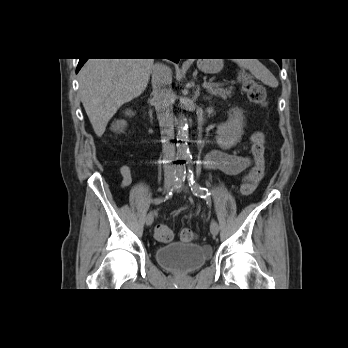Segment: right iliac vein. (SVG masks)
I'll list each match as a JSON object with an SVG mask.
<instances>
[{"label":"right iliac vein","instance_id":"63e3f726","mask_svg":"<svg viewBox=\"0 0 348 348\" xmlns=\"http://www.w3.org/2000/svg\"><path fill=\"white\" fill-rule=\"evenodd\" d=\"M173 182H174V178L172 176L166 177L164 180V190L169 191ZM153 221H154V213L150 212L146 217V225L147 226L152 225Z\"/></svg>","mask_w":348,"mask_h":348}]
</instances>
